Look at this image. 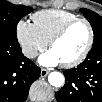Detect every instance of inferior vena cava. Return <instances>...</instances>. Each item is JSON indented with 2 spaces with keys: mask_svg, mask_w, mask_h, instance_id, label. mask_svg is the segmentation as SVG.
Returning <instances> with one entry per match:
<instances>
[{
  "mask_svg": "<svg viewBox=\"0 0 102 102\" xmlns=\"http://www.w3.org/2000/svg\"><path fill=\"white\" fill-rule=\"evenodd\" d=\"M22 53L27 57V58H35L38 55V52L36 49L33 47H23L22 48Z\"/></svg>",
  "mask_w": 102,
  "mask_h": 102,
  "instance_id": "obj_1",
  "label": "inferior vena cava"
}]
</instances>
